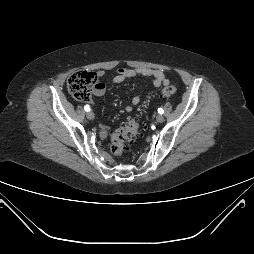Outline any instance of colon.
<instances>
[{"mask_svg": "<svg viewBox=\"0 0 254 254\" xmlns=\"http://www.w3.org/2000/svg\"><path fill=\"white\" fill-rule=\"evenodd\" d=\"M98 75L95 72H76L70 75L67 80V87L71 95L81 101L89 100L92 91L98 86ZM177 89L174 86H167L161 90L160 96L163 99L171 98ZM143 128L135 120H127L120 128L111 135L110 150L117 157L123 155L127 147L142 135Z\"/></svg>", "mask_w": 254, "mask_h": 254, "instance_id": "colon-1", "label": "colon"}]
</instances>
